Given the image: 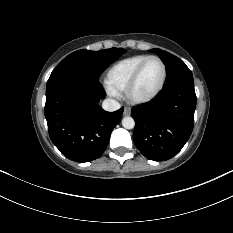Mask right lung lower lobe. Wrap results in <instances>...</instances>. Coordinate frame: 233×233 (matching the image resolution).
I'll use <instances>...</instances> for the list:
<instances>
[{"instance_id":"98d812e1","label":"right lung lower lobe","mask_w":233,"mask_h":233,"mask_svg":"<svg viewBox=\"0 0 233 233\" xmlns=\"http://www.w3.org/2000/svg\"><path fill=\"white\" fill-rule=\"evenodd\" d=\"M105 93L98 80L86 76H59L46 86L45 117L53 144L68 159H97L108 145L123 108L106 112L99 105Z\"/></svg>"}]
</instances>
